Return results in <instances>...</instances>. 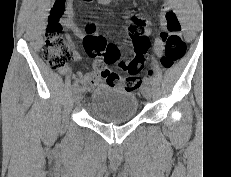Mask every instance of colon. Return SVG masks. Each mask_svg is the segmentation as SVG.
I'll list each match as a JSON object with an SVG mask.
<instances>
[{
	"label": "colon",
	"mask_w": 231,
	"mask_h": 177,
	"mask_svg": "<svg viewBox=\"0 0 231 177\" xmlns=\"http://www.w3.org/2000/svg\"><path fill=\"white\" fill-rule=\"evenodd\" d=\"M91 2L92 0H83ZM61 9L54 6L51 12L43 47V57L48 65L54 70H62L73 60L74 53L67 45L61 35L62 26L60 24ZM165 28L160 38L164 43L163 55L160 60L159 70L169 69L179 60L186 50L185 42L180 35V23L173 11L165 13ZM95 25L88 26L83 39L86 53L91 57H99L103 66V75L111 84H120L129 91L139 90L142 86L140 72L144 68L146 53L149 47L148 36L140 28L130 23L128 27V37L134 49V57L130 59L122 58L120 45L109 42L107 39L96 33ZM117 64L126 73L120 76L118 73L105 68L106 65ZM153 70L149 74H154Z\"/></svg>",
	"instance_id": "obj_1"
}]
</instances>
